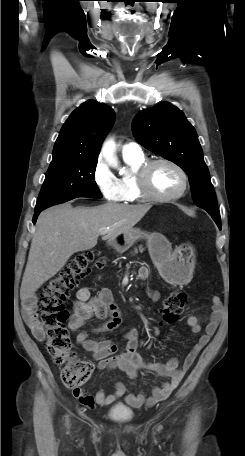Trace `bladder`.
Segmentation results:
<instances>
[{"label": "bladder", "instance_id": "bladder-1", "mask_svg": "<svg viewBox=\"0 0 245 456\" xmlns=\"http://www.w3.org/2000/svg\"><path fill=\"white\" fill-rule=\"evenodd\" d=\"M108 416L115 422H128L132 418V411L125 405H115L108 411Z\"/></svg>", "mask_w": 245, "mask_h": 456}]
</instances>
